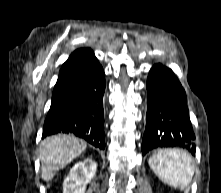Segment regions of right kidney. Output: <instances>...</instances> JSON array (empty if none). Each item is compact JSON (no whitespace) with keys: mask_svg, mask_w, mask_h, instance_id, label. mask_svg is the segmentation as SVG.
Segmentation results:
<instances>
[{"mask_svg":"<svg viewBox=\"0 0 221 193\" xmlns=\"http://www.w3.org/2000/svg\"><path fill=\"white\" fill-rule=\"evenodd\" d=\"M97 164L91 159L76 163L63 182V193H85L86 185L96 174Z\"/></svg>","mask_w":221,"mask_h":193,"instance_id":"right-kidney-1","label":"right kidney"}]
</instances>
